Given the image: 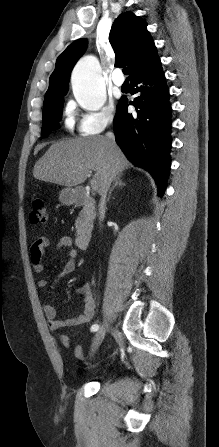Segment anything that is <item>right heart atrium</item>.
I'll return each mask as SVG.
<instances>
[{"label":"right heart atrium","mask_w":219,"mask_h":447,"mask_svg":"<svg viewBox=\"0 0 219 447\" xmlns=\"http://www.w3.org/2000/svg\"><path fill=\"white\" fill-rule=\"evenodd\" d=\"M115 118V108L112 103L102 106L97 112L82 115L79 131L82 135L99 134L111 125Z\"/></svg>","instance_id":"d8ad5b80"}]
</instances>
